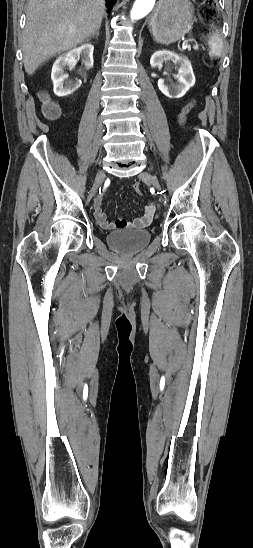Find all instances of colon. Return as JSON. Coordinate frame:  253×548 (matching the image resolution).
Masks as SVG:
<instances>
[{
	"label": "colon",
	"instance_id": "1",
	"mask_svg": "<svg viewBox=\"0 0 253 548\" xmlns=\"http://www.w3.org/2000/svg\"><path fill=\"white\" fill-rule=\"evenodd\" d=\"M217 15L216 1L215 0H199V16L204 23L209 24ZM206 63L209 66H214L217 64V60L214 57H209L206 59ZM44 101V114L49 118H54L58 115V107L50 101L47 95H42ZM192 103L188 104L180 114V120H184L187 113L192 108ZM135 192L138 195H142L141 186L139 183L133 185Z\"/></svg>",
	"mask_w": 253,
	"mask_h": 548
}]
</instances>
